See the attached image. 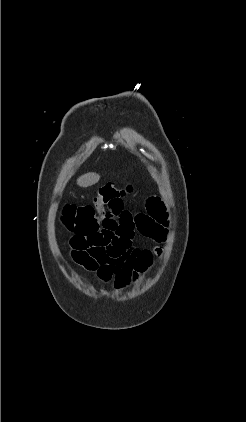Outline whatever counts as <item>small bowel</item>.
Wrapping results in <instances>:
<instances>
[{"label": "small bowel", "mask_w": 246, "mask_h": 422, "mask_svg": "<svg viewBox=\"0 0 246 422\" xmlns=\"http://www.w3.org/2000/svg\"><path fill=\"white\" fill-rule=\"evenodd\" d=\"M167 214L159 198H150L147 213L134 216L124 209L108 208L99 227L70 240L72 260L95 272L104 283L117 290L126 288L134 276V262L140 249L134 246L135 230L157 242L166 236Z\"/></svg>", "instance_id": "small-bowel-1"}]
</instances>
